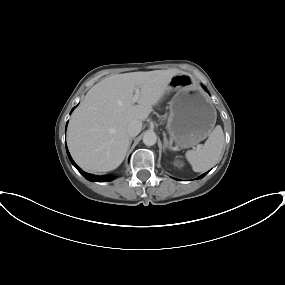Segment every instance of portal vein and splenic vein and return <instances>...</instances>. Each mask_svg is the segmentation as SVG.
<instances>
[{
  "mask_svg": "<svg viewBox=\"0 0 285 285\" xmlns=\"http://www.w3.org/2000/svg\"><path fill=\"white\" fill-rule=\"evenodd\" d=\"M139 97H140V90H139V88H135V94H134L133 99H132L133 102L134 103L137 102Z\"/></svg>",
  "mask_w": 285,
  "mask_h": 285,
  "instance_id": "obj_1",
  "label": "portal vein and splenic vein"
}]
</instances>
